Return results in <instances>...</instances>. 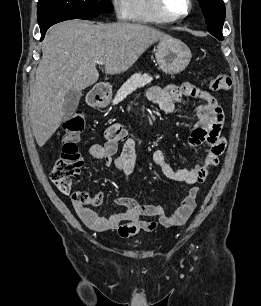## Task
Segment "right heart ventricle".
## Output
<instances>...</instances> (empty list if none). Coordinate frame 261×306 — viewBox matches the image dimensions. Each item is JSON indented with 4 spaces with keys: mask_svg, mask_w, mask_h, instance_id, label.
<instances>
[{
    "mask_svg": "<svg viewBox=\"0 0 261 306\" xmlns=\"http://www.w3.org/2000/svg\"><path fill=\"white\" fill-rule=\"evenodd\" d=\"M129 19L141 23L170 22L158 12L154 0H129Z\"/></svg>",
    "mask_w": 261,
    "mask_h": 306,
    "instance_id": "right-heart-ventricle-1",
    "label": "right heart ventricle"
}]
</instances>
